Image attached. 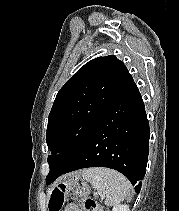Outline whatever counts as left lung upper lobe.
Instances as JSON below:
<instances>
[{"label": "left lung upper lobe", "mask_w": 179, "mask_h": 211, "mask_svg": "<svg viewBox=\"0 0 179 211\" xmlns=\"http://www.w3.org/2000/svg\"><path fill=\"white\" fill-rule=\"evenodd\" d=\"M129 77L115 56L98 57L59 90L48 117L46 142L53 155L48 156L46 180L64 172L78 157L98 119Z\"/></svg>", "instance_id": "5c2ea615"}]
</instances>
